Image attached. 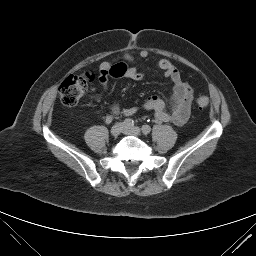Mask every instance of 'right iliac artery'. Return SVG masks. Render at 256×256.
I'll use <instances>...</instances> for the list:
<instances>
[{
  "label": "right iliac artery",
  "instance_id": "82829eb1",
  "mask_svg": "<svg viewBox=\"0 0 256 256\" xmlns=\"http://www.w3.org/2000/svg\"><path fill=\"white\" fill-rule=\"evenodd\" d=\"M123 125L125 126V127H133L134 126V121L132 120V119H125L124 121H123Z\"/></svg>",
  "mask_w": 256,
  "mask_h": 256
}]
</instances>
